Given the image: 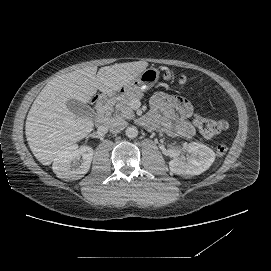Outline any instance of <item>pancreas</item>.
Returning <instances> with one entry per match:
<instances>
[{"mask_svg": "<svg viewBox=\"0 0 271 271\" xmlns=\"http://www.w3.org/2000/svg\"><path fill=\"white\" fill-rule=\"evenodd\" d=\"M140 93H130L127 94L123 99L117 100L113 105L114 113L116 116L121 118H129L132 119L135 117L134 110L130 106V102L134 99H140Z\"/></svg>", "mask_w": 271, "mask_h": 271, "instance_id": "obj_1", "label": "pancreas"}]
</instances>
